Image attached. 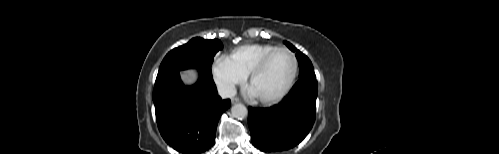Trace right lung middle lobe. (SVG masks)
Here are the masks:
<instances>
[{
	"label": "right lung middle lobe",
	"mask_w": 499,
	"mask_h": 154,
	"mask_svg": "<svg viewBox=\"0 0 499 154\" xmlns=\"http://www.w3.org/2000/svg\"><path fill=\"white\" fill-rule=\"evenodd\" d=\"M223 48L218 39L193 38L187 44L171 50L163 59L157 78L185 69H203L211 72L215 54Z\"/></svg>",
	"instance_id": "right-lung-middle-lobe-1"
}]
</instances>
